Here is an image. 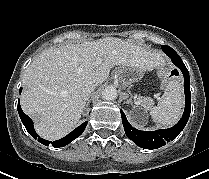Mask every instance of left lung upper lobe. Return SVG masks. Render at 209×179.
Here are the masks:
<instances>
[{"mask_svg":"<svg viewBox=\"0 0 209 179\" xmlns=\"http://www.w3.org/2000/svg\"><path fill=\"white\" fill-rule=\"evenodd\" d=\"M162 49L165 50H170V48L168 46H162Z\"/></svg>","mask_w":209,"mask_h":179,"instance_id":"1","label":"left lung upper lobe"}]
</instances>
